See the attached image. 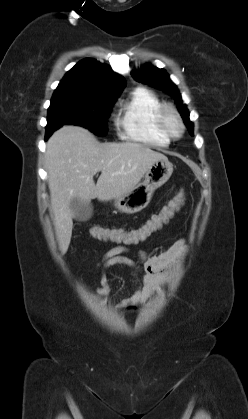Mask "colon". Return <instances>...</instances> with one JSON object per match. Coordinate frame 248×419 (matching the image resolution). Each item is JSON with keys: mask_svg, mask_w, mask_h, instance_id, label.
I'll return each instance as SVG.
<instances>
[{"mask_svg": "<svg viewBox=\"0 0 248 419\" xmlns=\"http://www.w3.org/2000/svg\"><path fill=\"white\" fill-rule=\"evenodd\" d=\"M185 194L183 191L178 192L171 201L161 209V211L152 216L150 220L145 223L144 229L137 234V236L145 235L155 232L160 229L162 225L167 223L174 214L181 208L184 203ZM92 235L102 241L113 242H128L133 240V236L127 235L124 231L119 229H109L103 227H95L92 229Z\"/></svg>", "mask_w": 248, "mask_h": 419, "instance_id": "colon-1", "label": "colon"}]
</instances>
